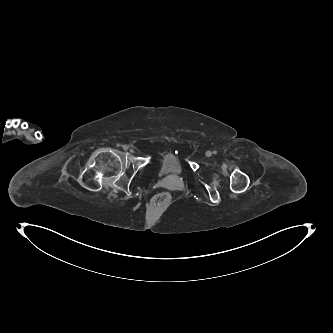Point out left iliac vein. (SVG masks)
Here are the masks:
<instances>
[{
  "label": "left iliac vein",
  "mask_w": 333,
  "mask_h": 333,
  "mask_svg": "<svg viewBox=\"0 0 333 333\" xmlns=\"http://www.w3.org/2000/svg\"><path fill=\"white\" fill-rule=\"evenodd\" d=\"M211 154H212V153H211L210 151H207V152H206V156H207V157H210Z\"/></svg>",
  "instance_id": "4c4485c4"
}]
</instances>
